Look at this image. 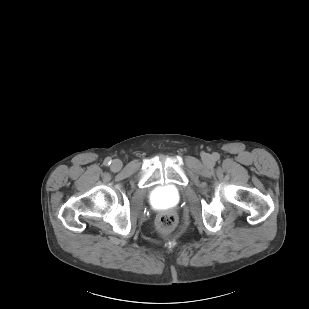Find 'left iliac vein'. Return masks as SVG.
I'll use <instances>...</instances> for the list:
<instances>
[{"label": "left iliac vein", "mask_w": 309, "mask_h": 309, "mask_svg": "<svg viewBox=\"0 0 309 309\" xmlns=\"http://www.w3.org/2000/svg\"><path fill=\"white\" fill-rule=\"evenodd\" d=\"M202 160H203V162H204L207 166H213V165H214V160H213V158H212L209 154L203 155Z\"/></svg>", "instance_id": "left-iliac-vein-1"}]
</instances>
